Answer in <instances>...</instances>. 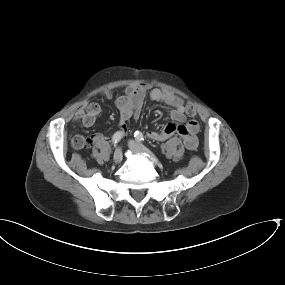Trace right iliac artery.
I'll return each instance as SVG.
<instances>
[{
  "mask_svg": "<svg viewBox=\"0 0 285 285\" xmlns=\"http://www.w3.org/2000/svg\"><path fill=\"white\" fill-rule=\"evenodd\" d=\"M122 136H123V134L121 132L114 133V135L112 137V143L114 144V146H117V144L120 142Z\"/></svg>",
  "mask_w": 285,
  "mask_h": 285,
  "instance_id": "obj_1",
  "label": "right iliac artery"
}]
</instances>
